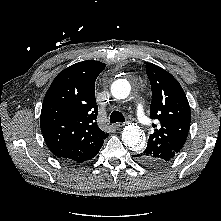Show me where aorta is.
Listing matches in <instances>:
<instances>
[{"label":"aorta","mask_w":221,"mask_h":221,"mask_svg":"<svg viewBox=\"0 0 221 221\" xmlns=\"http://www.w3.org/2000/svg\"><path fill=\"white\" fill-rule=\"evenodd\" d=\"M130 83L125 79L115 81L111 86V93L117 99H125L130 93ZM122 141L132 151H139L145 146V139L139 126L129 124L124 127Z\"/></svg>","instance_id":"obj_1"}]
</instances>
